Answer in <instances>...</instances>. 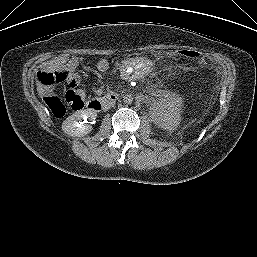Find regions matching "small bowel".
<instances>
[{
	"instance_id": "c3829d8e",
	"label": "small bowel",
	"mask_w": 257,
	"mask_h": 257,
	"mask_svg": "<svg viewBox=\"0 0 257 257\" xmlns=\"http://www.w3.org/2000/svg\"><path fill=\"white\" fill-rule=\"evenodd\" d=\"M78 57H60L58 59L52 60L45 63L41 71L47 72H60L63 76L61 82H66L69 86H75L79 81V75L77 73V67L79 65ZM96 68L100 72H105L109 68V61L107 59H99L96 63ZM39 92L41 95L45 96L47 94H52V88L50 86H44L39 84Z\"/></svg>"
}]
</instances>
